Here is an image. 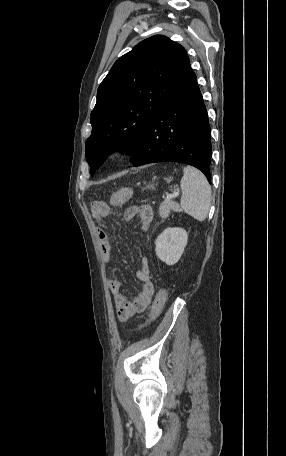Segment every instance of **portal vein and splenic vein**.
Returning a JSON list of instances; mask_svg holds the SVG:
<instances>
[{"mask_svg":"<svg viewBox=\"0 0 286 456\" xmlns=\"http://www.w3.org/2000/svg\"><path fill=\"white\" fill-rule=\"evenodd\" d=\"M177 196H179V192H174V193H172V194L167 195L166 198H167L168 200H170V199H173V198H175V197H177Z\"/></svg>","mask_w":286,"mask_h":456,"instance_id":"portal-vein-and-splenic-vein-1","label":"portal vein and splenic vein"}]
</instances>
